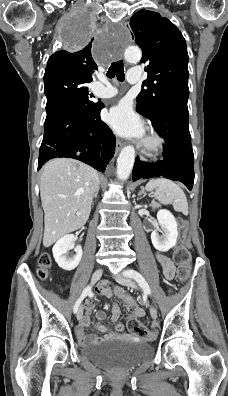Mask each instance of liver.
Wrapping results in <instances>:
<instances>
[{
    "mask_svg": "<svg viewBox=\"0 0 228 396\" xmlns=\"http://www.w3.org/2000/svg\"><path fill=\"white\" fill-rule=\"evenodd\" d=\"M98 188V172L78 160L57 158L44 166L40 196L44 210L45 247L86 224ZM77 212L81 215L77 216Z\"/></svg>",
    "mask_w": 228,
    "mask_h": 396,
    "instance_id": "6515ba94",
    "label": "liver"
}]
</instances>
